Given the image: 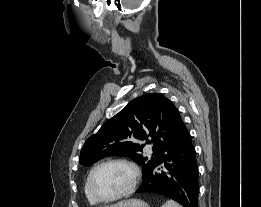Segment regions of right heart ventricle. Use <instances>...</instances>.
Listing matches in <instances>:
<instances>
[{
	"label": "right heart ventricle",
	"mask_w": 261,
	"mask_h": 207,
	"mask_svg": "<svg viewBox=\"0 0 261 207\" xmlns=\"http://www.w3.org/2000/svg\"><path fill=\"white\" fill-rule=\"evenodd\" d=\"M88 180H89V175L86 178L85 184H84V193H85V197L87 199V201L91 204V205H95L97 204V201L91 196L90 191H89V186H88Z\"/></svg>",
	"instance_id": "obj_1"
}]
</instances>
